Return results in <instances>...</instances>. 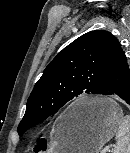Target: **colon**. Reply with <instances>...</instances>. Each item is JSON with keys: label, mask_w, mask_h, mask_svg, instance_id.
<instances>
[{"label": "colon", "mask_w": 130, "mask_h": 153, "mask_svg": "<svg viewBox=\"0 0 130 153\" xmlns=\"http://www.w3.org/2000/svg\"><path fill=\"white\" fill-rule=\"evenodd\" d=\"M45 144L43 142H39L38 146L36 147V151H44Z\"/></svg>", "instance_id": "5ec220e1"}]
</instances>
